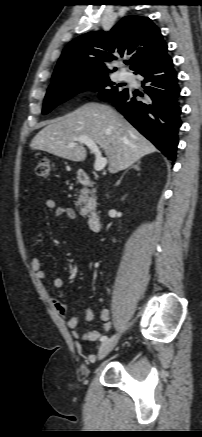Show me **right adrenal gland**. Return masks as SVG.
I'll use <instances>...</instances> for the list:
<instances>
[{
  "label": "right adrenal gland",
  "mask_w": 202,
  "mask_h": 437,
  "mask_svg": "<svg viewBox=\"0 0 202 437\" xmlns=\"http://www.w3.org/2000/svg\"><path fill=\"white\" fill-rule=\"evenodd\" d=\"M139 166H140V162H137V164L133 165L131 168H134L135 170L140 171V167H139ZM127 171H128V170H126V171L124 172V174H125ZM124 174H123V175L121 176V178L117 181L116 185H119V184L121 183V180H122Z\"/></svg>",
  "instance_id": "obj_1"
}]
</instances>
